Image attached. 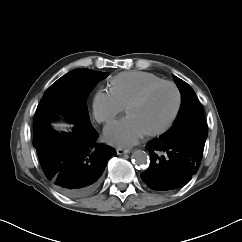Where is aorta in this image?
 <instances>
[{
	"instance_id": "obj_1",
	"label": "aorta",
	"mask_w": 242,
	"mask_h": 242,
	"mask_svg": "<svg viewBox=\"0 0 242 242\" xmlns=\"http://www.w3.org/2000/svg\"><path fill=\"white\" fill-rule=\"evenodd\" d=\"M133 162L140 167H144L149 163V155L142 150H136L132 154Z\"/></svg>"
}]
</instances>
